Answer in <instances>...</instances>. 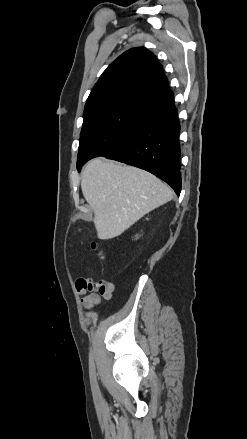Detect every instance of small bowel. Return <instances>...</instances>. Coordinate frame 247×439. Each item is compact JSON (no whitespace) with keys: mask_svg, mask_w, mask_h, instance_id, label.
Returning <instances> with one entry per match:
<instances>
[{"mask_svg":"<svg viewBox=\"0 0 247 439\" xmlns=\"http://www.w3.org/2000/svg\"><path fill=\"white\" fill-rule=\"evenodd\" d=\"M75 286L82 296L81 304L87 310L95 309L103 300H110L115 292V285L106 280L95 282L92 278H79Z\"/></svg>","mask_w":247,"mask_h":439,"instance_id":"obj_1","label":"small bowel"}]
</instances>
